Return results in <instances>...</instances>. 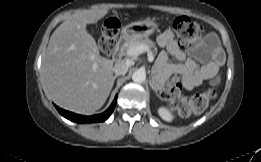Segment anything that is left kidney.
<instances>
[{"mask_svg": "<svg viewBox=\"0 0 261 162\" xmlns=\"http://www.w3.org/2000/svg\"><path fill=\"white\" fill-rule=\"evenodd\" d=\"M158 113H159L160 117H161L163 120L168 121V122L172 121L173 118H174V116L172 115V113H171L167 108H165V107H160V108L158 109Z\"/></svg>", "mask_w": 261, "mask_h": 162, "instance_id": "5707ae66", "label": "left kidney"}]
</instances>
